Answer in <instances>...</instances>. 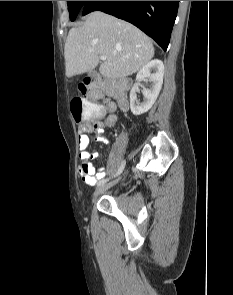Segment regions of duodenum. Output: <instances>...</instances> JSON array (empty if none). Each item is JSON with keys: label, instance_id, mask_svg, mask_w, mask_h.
Here are the masks:
<instances>
[{"label": "duodenum", "instance_id": "1", "mask_svg": "<svg viewBox=\"0 0 233 295\" xmlns=\"http://www.w3.org/2000/svg\"><path fill=\"white\" fill-rule=\"evenodd\" d=\"M119 106H120V108L123 109V110L127 109V107H128V103H127V101H126L125 98H121V99L119 100Z\"/></svg>", "mask_w": 233, "mask_h": 295}]
</instances>
